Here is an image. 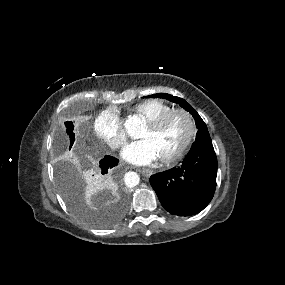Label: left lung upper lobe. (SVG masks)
Listing matches in <instances>:
<instances>
[{"label":"left lung upper lobe","mask_w":285,"mask_h":285,"mask_svg":"<svg viewBox=\"0 0 285 285\" xmlns=\"http://www.w3.org/2000/svg\"><path fill=\"white\" fill-rule=\"evenodd\" d=\"M147 98H165L169 101H172L174 103L179 104L186 111L190 112V114H192V116L194 117V119L196 121V126L198 128V132L196 134V140H195L194 144L201 142L205 139H211L209 132H208V129H207V126L204 123V121L202 120V118L195 111V109H193L192 106L189 105L184 99L176 97V96H172V95L166 94V93L153 94V95L147 96Z\"/></svg>","instance_id":"5c2ea615"}]
</instances>
